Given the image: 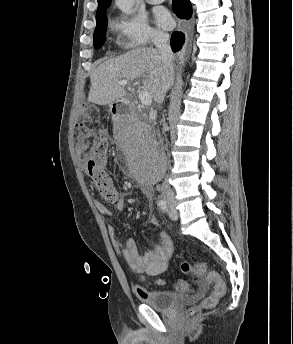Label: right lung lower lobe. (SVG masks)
Returning a JSON list of instances; mask_svg holds the SVG:
<instances>
[{"label": "right lung lower lobe", "instance_id": "98d812e1", "mask_svg": "<svg viewBox=\"0 0 293 344\" xmlns=\"http://www.w3.org/2000/svg\"><path fill=\"white\" fill-rule=\"evenodd\" d=\"M174 13L181 19H189L192 15V6L189 0H173ZM185 36L182 32H174L171 38V48L179 51L184 44Z\"/></svg>", "mask_w": 293, "mask_h": 344}]
</instances>
